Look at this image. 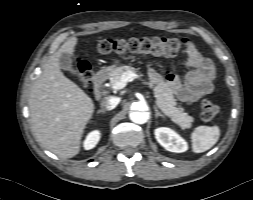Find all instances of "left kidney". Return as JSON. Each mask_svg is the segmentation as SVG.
Here are the masks:
<instances>
[{
    "mask_svg": "<svg viewBox=\"0 0 253 200\" xmlns=\"http://www.w3.org/2000/svg\"><path fill=\"white\" fill-rule=\"evenodd\" d=\"M154 134L158 143L170 152L182 153L188 149L187 142L170 128H157Z\"/></svg>",
    "mask_w": 253,
    "mask_h": 200,
    "instance_id": "obj_1",
    "label": "left kidney"
}]
</instances>
